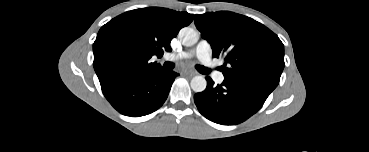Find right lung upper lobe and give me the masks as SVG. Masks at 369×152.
<instances>
[{"label": "right lung upper lobe", "instance_id": "1", "mask_svg": "<svg viewBox=\"0 0 369 152\" xmlns=\"http://www.w3.org/2000/svg\"><path fill=\"white\" fill-rule=\"evenodd\" d=\"M193 18L187 12L149 7L125 12L102 26L93 44V65L101 88L134 74L162 69L149 59L170 51L171 40Z\"/></svg>", "mask_w": 369, "mask_h": 152}]
</instances>
